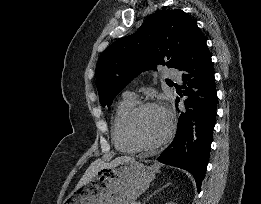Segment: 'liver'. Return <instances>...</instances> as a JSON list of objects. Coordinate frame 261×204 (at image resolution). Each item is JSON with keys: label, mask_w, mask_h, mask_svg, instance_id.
<instances>
[{"label": "liver", "mask_w": 261, "mask_h": 204, "mask_svg": "<svg viewBox=\"0 0 261 204\" xmlns=\"http://www.w3.org/2000/svg\"><path fill=\"white\" fill-rule=\"evenodd\" d=\"M131 160H134V158L129 157V156H120V157L115 158L111 162H107V163L102 160H96L93 163H91V165L88 167V169L86 170V172L80 179L78 185L82 186V185L89 183L92 180V178L94 177V175L96 174V172L98 170H100L101 168L113 167L120 163L131 161Z\"/></svg>", "instance_id": "1"}]
</instances>
